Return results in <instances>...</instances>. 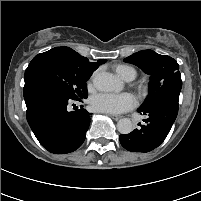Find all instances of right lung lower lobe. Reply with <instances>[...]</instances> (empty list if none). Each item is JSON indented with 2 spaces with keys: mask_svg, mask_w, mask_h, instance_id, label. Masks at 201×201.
Masks as SVG:
<instances>
[{
  "mask_svg": "<svg viewBox=\"0 0 201 201\" xmlns=\"http://www.w3.org/2000/svg\"><path fill=\"white\" fill-rule=\"evenodd\" d=\"M26 118L40 144L51 153L65 154L85 140L91 113L67 110L73 101L60 88L40 79L25 81Z\"/></svg>",
  "mask_w": 201,
  "mask_h": 201,
  "instance_id": "right-lung-lower-lobe-1",
  "label": "right lung lower lobe"
}]
</instances>
